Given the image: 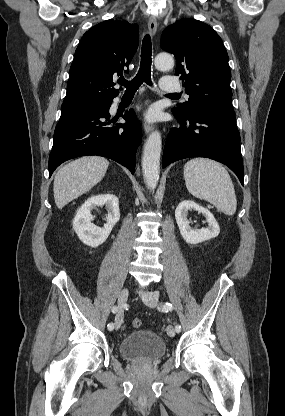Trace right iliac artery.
<instances>
[{"instance_id":"1","label":"right iliac artery","mask_w":285,"mask_h":416,"mask_svg":"<svg viewBox=\"0 0 285 416\" xmlns=\"http://www.w3.org/2000/svg\"><path fill=\"white\" fill-rule=\"evenodd\" d=\"M112 312L113 313H116L117 311H118V307L116 306V305H114L113 307H112ZM107 328H108V330H113V328H114V325H113V323H109L108 325H107Z\"/></svg>"}]
</instances>
